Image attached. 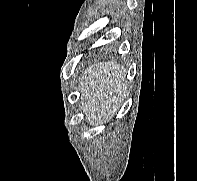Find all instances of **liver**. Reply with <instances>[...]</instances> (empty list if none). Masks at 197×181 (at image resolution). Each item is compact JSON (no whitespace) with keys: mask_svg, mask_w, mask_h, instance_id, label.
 <instances>
[{"mask_svg":"<svg viewBox=\"0 0 197 181\" xmlns=\"http://www.w3.org/2000/svg\"><path fill=\"white\" fill-rule=\"evenodd\" d=\"M125 68L116 61L89 66L79 80L81 104L86 121L101 124L119 109L127 90Z\"/></svg>","mask_w":197,"mask_h":181,"instance_id":"obj_1","label":"liver"}]
</instances>
